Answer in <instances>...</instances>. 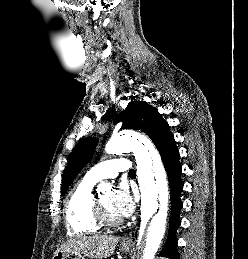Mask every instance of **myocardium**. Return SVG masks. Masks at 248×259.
<instances>
[{"mask_svg":"<svg viewBox=\"0 0 248 259\" xmlns=\"http://www.w3.org/2000/svg\"><path fill=\"white\" fill-rule=\"evenodd\" d=\"M94 217L98 224L104 227H116L122 222L120 218L114 219L107 214L104 206L97 196L94 197Z\"/></svg>","mask_w":248,"mask_h":259,"instance_id":"obj_1","label":"myocardium"}]
</instances>
